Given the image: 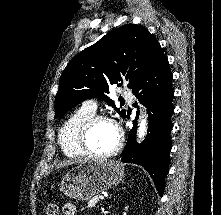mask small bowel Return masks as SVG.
I'll return each instance as SVG.
<instances>
[{
  "instance_id": "c3829d8e",
  "label": "small bowel",
  "mask_w": 221,
  "mask_h": 215,
  "mask_svg": "<svg viewBox=\"0 0 221 215\" xmlns=\"http://www.w3.org/2000/svg\"><path fill=\"white\" fill-rule=\"evenodd\" d=\"M62 210L65 215H75L77 213V208L72 203H65L62 206Z\"/></svg>"
}]
</instances>
